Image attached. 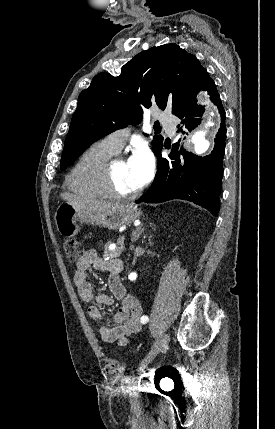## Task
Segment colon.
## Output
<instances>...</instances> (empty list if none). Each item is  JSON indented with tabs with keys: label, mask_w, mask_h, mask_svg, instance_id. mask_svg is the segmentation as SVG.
Segmentation results:
<instances>
[{
	"label": "colon",
	"mask_w": 275,
	"mask_h": 429,
	"mask_svg": "<svg viewBox=\"0 0 275 429\" xmlns=\"http://www.w3.org/2000/svg\"><path fill=\"white\" fill-rule=\"evenodd\" d=\"M66 258L73 262L76 261L83 251L81 242L75 239H67L64 243ZM105 374L110 382H116L123 371V365L115 360H107L104 365Z\"/></svg>",
	"instance_id": "colon-1"
}]
</instances>
